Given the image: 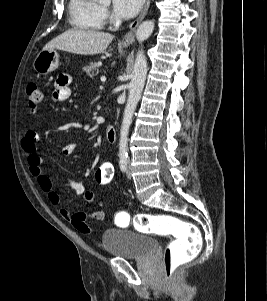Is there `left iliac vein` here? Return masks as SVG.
<instances>
[{"mask_svg": "<svg viewBox=\"0 0 267 301\" xmlns=\"http://www.w3.org/2000/svg\"><path fill=\"white\" fill-rule=\"evenodd\" d=\"M127 177H128V179H131V169H130V165L129 164H128Z\"/></svg>", "mask_w": 267, "mask_h": 301, "instance_id": "left-iliac-vein-1", "label": "left iliac vein"}]
</instances>
